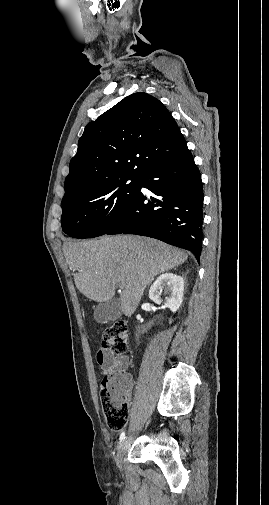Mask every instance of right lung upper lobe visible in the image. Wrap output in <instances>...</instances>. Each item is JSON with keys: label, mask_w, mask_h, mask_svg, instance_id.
<instances>
[{"label": "right lung upper lobe", "mask_w": 269, "mask_h": 505, "mask_svg": "<svg viewBox=\"0 0 269 505\" xmlns=\"http://www.w3.org/2000/svg\"><path fill=\"white\" fill-rule=\"evenodd\" d=\"M185 145L174 118L157 98L142 92L129 95L85 127L62 201L97 185L139 179Z\"/></svg>", "instance_id": "right-lung-upper-lobe-1"}]
</instances>
